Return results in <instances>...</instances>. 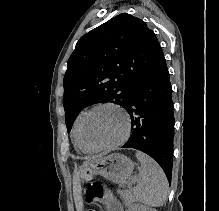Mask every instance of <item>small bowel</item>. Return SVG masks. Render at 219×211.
<instances>
[{
  "label": "small bowel",
  "mask_w": 219,
  "mask_h": 211,
  "mask_svg": "<svg viewBox=\"0 0 219 211\" xmlns=\"http://www.w3.org/2000/svg\"><path fill=\"white\" fill-rule=\"evenodd\" d=\"M88 200L90 202L95 200L100 201L106 206L108 211H122L121 206L109 191H90L88 193Z\"/></svg>",
  "instance_id": "c3829d8e"
}]
</instances>
